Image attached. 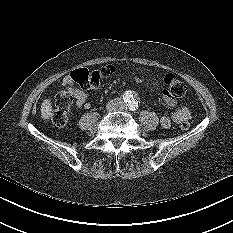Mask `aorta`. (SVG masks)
I'll return each mask as SVG.
<instances>
[{
	"label": "aorta",
	"instance_id": "obj_1",
	"mask_svg": "<svg viewBox=\"0 0 233 233\" xmlns=\"http://www.w3.org/2000/svg\"><path fill=\"white\" fill-rule=\"evenodd\" d=\"M128 106L130 108H136L138 106V101L133 97L128 101Z\"/></svg>",
	"mask_w": 233,
	"mask_h": 233
}]
</instances>
